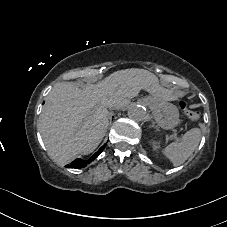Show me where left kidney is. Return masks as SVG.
Returning <instances> with one entry per match:
<instances>
[{"instance_id":"5707ae66","label":"left kidney","mask_w":227,"mask_h":227,"mask_svg":"<svg viewBox=\"0 0 227 227\" xmlns=\"http://www.w3.org/2000/svg\"><path fill=\"white\" fill-rule=\"evenodd\" d=\"M153 150H158L160 148V142L152 141Z\"/></svg>"}]
</instances>
